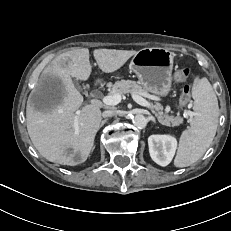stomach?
Wrapping results in <instances>:
<instances>
[{
  "label": "stomach",
  "instance_id": "stomach-1",
  "mask_svg": "<svg viewBox=\"0 0 231 231\" xmlns=\"http://www.w3.org/2000/svg\"><path fill=\"white\" fill-rule=\"evenodd\" d=\"M173 60L168 49L144 48L134 55L130 67L148 92L165 97L172 88Z\"/></svg>",
  "mask_w": 231,
  "mask_h": 231
}]
</instances>
